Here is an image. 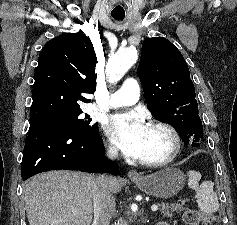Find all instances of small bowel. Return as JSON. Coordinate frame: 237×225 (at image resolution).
<instances>
[{"mask_svg":"<svg viewBox=\"0 0 237 225\" xmlns=\"http://www.w3.org/2000/svg\"><path fill=\"white\" fill-rule=\"evenodd\" d=\"M158 225H169V224L166 223V222H161V223H159Z\"/></svg>","mask_w":237,"mask_h":225,"instance_id":"obj_1","label":"small bowel"}]
</instances>
